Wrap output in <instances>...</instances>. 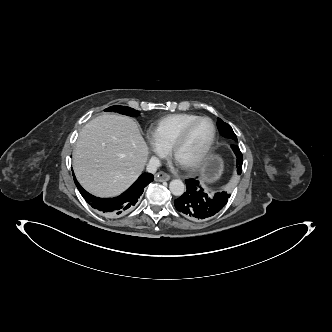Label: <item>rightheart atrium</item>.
<instances>
[{"label": "right heart atrium", "mask_w": 332, "mask_h": 332, "mask_svg": "<svg viewBox=\"0 0 332 332\" xmlns=\"http://www.w3.org/2000/svg\"><path fill=\"white\" fill-rule=\"evenodd\" d=\"M147 146L154 158H164L168 155L169 149L163 146L152 133L146 136Z\"/></svg>", "instance_id": "right-heart-atrium-1"}]
</instances>
